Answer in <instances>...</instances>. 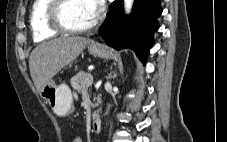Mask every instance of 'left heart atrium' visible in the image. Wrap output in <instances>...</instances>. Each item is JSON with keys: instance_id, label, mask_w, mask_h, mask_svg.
Wrapping results in <instances>:
<instances>
[{"instance_id": "39dd6f15", "label": "left heart atrium", "mask_w": 227, "mask_h": 142, "mask_svg": "<svg viewBox=\"0 0 227 142\" xmlns=\"http://www.w3.org/2000/svg\"><path fill=\"white\" fill-rule=\"evenodd\" d=\"M94 18H97L102 10L103 0H85Z\"/></svg>"}]
</instances>
